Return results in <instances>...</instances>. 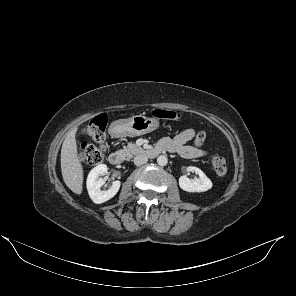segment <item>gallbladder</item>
I'll return each instance as SVG.
<instances>
[{
    "label": "gallbladder",
    "mask_w": 296,
    "mask_h": 296,
    "mask_svg": "<svg viewBox=\"0 0 296 296\" xmlns=\"http://www.w3.org/2000/svg\"><path fill=\"white\" fill-rule=\"evenodd\" d=\"M85 132H86V130H85V129H83V130H82V134H84Z\"/></svg>",
    "instance_id": "gallbladder-1"
}]
</instances>
